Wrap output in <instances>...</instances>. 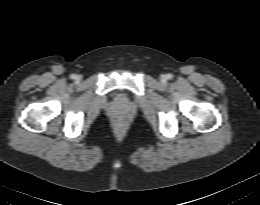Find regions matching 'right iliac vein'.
Here are the masks:
<instances>
[{
	"label": "right iliac vein",
	"mask_w": 260,
	"mask_h": 205,
	"mask_svg": "<svg viewBox=\"0 0 260 205\" xmlns=\"http://www.w3.org/2000/svg\"><path fill=\"white\" fill-rule=\"evenodd\" d=\"M76 80H78V81L81 80V76H77Z\"/></svg>",
	"instance_id": "63e3f726"
}]
</instances>
